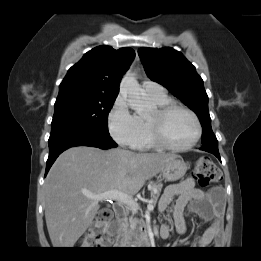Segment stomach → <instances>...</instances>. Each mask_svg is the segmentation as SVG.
<instances>
[{
    "mask_svg": "<svg viewBox=\"0 0 261 261\" xmlns=\"http://www.w3.org/2000/svg\"><path fill=\"white\" fill-rule=\"evenodd\" d=\"M187 171V164L184 160L176 156L168 161L160 171V176L169 182L177 181L185 175Z\"/></svg>",
    "mask_w": 261,
    "mask_h": 261,
    "instance_id": "0dacf381",
    "label": "stomach"
}]
</instances>
